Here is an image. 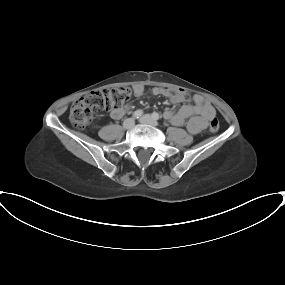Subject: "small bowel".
Instances as JSON below:
<instances>
[{
    "label": "small bowel",
    "instance_id": "small-bowel-1",
    "mask_svg": "<svg viewBox=\"0 0 285 285\" xmlns=\"http://www.w3.org/2000/svg\"><path fill=\"white\" fill-rule=\"evenodd\" d=\"M134 96L141 97L145 94V88L141 84H135L132 87ZM154 96H166L173 104L184 102V97L180 92H173L165 87H154L151 90ZM128 109V105L120 106L110 110V117L120 119ZM216 112L210 102L203 96L196 94L194 104H184L178 110H167L164 112V118L176 126H181L187 121V129L192 134H197L206 128L208 122L215 118Z\"/></svg>",
    "mask_w": 285,
    "mask_h": 285
}]
</instances>
